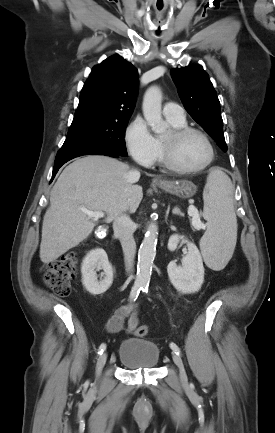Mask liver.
<instances>
[{"mask_svg": "<svg viewBox=\"0 0 275 433\" xmlns=\"http://www.w3.org/2000/svg\"><path fill=\"white\" fill-rule=\"evenodd\" d=\"M133 171L127 164L103 155H88L69 164L50 194L42 225L41 261L54 262L91 234L97 220L82 209L104 211L107 223L127 211L134 213L143 191L135 184Z\"/></svg>", "mask_w": 275, "mask_h": 433, "instance_id": "liver-1", "label": "liver"}]
</instances>
